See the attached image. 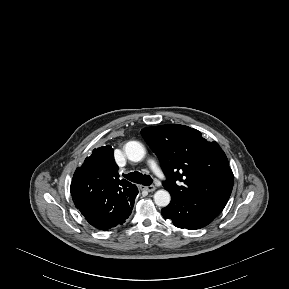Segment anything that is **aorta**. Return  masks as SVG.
<instances>
[{"mask_svg": "<svg viewBox=\"0 0 289 289\" xmlns=\"http://www.w3.org/2000/svg\"><path fill=\"white\" fill-rule=\"evenodd\" d=\"M126 156L133 162H139L145 155V149L143 145L138 141H129L124 147ZM171 200V196L166 190H158L154 194V202L160 207H166Z\"/></svg>", "mask_w": 289, "mask_h": 289, "instance_id": "1", "label": "aorta"}]
</instances>
